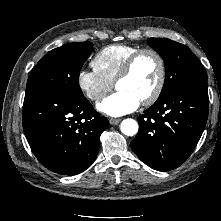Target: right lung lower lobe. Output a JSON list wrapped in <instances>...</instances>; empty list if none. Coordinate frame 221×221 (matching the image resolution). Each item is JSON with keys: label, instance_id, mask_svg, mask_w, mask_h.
<instances>
[{"label": "right lung lower lobe", "instance_id": "right-lung-lower-lobe-1", "mask_svg": "<svg viewBox=\"0 0 221 221\" xmlns=\"http://www.w3.org/2000/svg\"><path fill=\"white\" fill-rule=\"evenodd\" d=\"M109 127L84 97L26 89L23 129L40 163L61 175H76L95 160L100 135Z\"/></svg>", "mask_w": 221, "mask_h": 221}]
</instances>
